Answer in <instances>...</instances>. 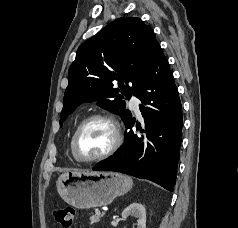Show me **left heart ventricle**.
Listing matches in <instances>:
<instances>
[{"label": "left heart ventricle", "instance_id": "left-heart-ventricle-1", "mask_svg": "<svg viewBox=\"0 0 238 228\" xmlns=\"http://www.w3.org/2000/svg\"><path fill=\"white\" fill-rule=\"evenodd\" d=\"M111 126L102 120L88 123L77 139V154L81 158H93L105 152L113 142Z\"/></svg>", "mask_w": 238, "mask_h": 228}]
</instances>
